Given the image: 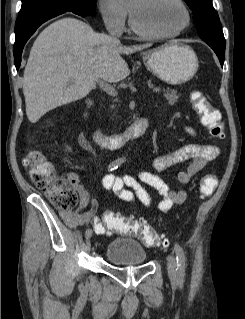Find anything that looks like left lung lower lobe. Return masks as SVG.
Segmentation results:
<instances>
[{
  "label": "left lung lower lobe",
  "instance_id": "0a47b994",
  "mask_svg": "<svg viewBox=\"0 0 245 319\" xmlns=\"http://www.w3.org/2000/svg\"><path fill=\"white\" fill-rule=\"evenodd\" d=\"M210 47L214 50V52L216 53V55L218 56L220 60L221 65L223 66L225 51L214 46H210Z\"/></svg>",
  "mask_w": 245,
  "mask_h": 319
}]
</instances>
